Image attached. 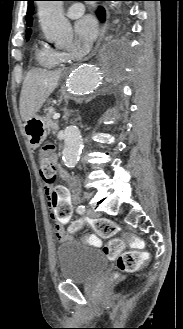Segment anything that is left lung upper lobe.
I'll list each match as a JSON object with an SVG mask.
<instances>
[{"mask_svg": "<svg viewBox=\"0 0 183 329\" xmlns=\"http://www.w3.org/2000/svg\"><path fill=\"white\" fill-rule=\"evenodd\" d=\"M28 1V10H27V15H26V22L27 25L30 27L32 25V15H33V11H34V6H33V2L35 0H27ZM31 35V29L27 28L26 29V39L29 40Z\"/></svg>", "mask_w": 183, "mask_h": 329, "instance_id": "1", "label": "left lung upper lobe"}]
</instances>
